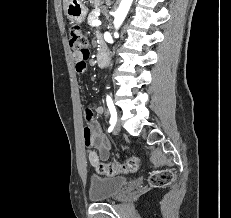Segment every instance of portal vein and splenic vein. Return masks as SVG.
Masks as SVG:
<instances>
[{
	"label": "portal vein and splenic vein",
	"instance_id": "1",
	"mask_svg": "<svg viewBox=\"0 0 231 218\" xmlns=\"http://www.w3.org/2000/svg\"><path fill=\"white\" fill-rule=\"evenodd\" d=\"M93 26H100L101 25V21L99 20H94L92 23Z\"/></svg>",
	"mask_w": 231,
	"mask_h": 218
}]
</instances>
